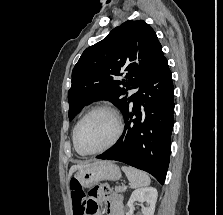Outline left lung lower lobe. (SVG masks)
Returning a JSON list of instances; mask_svg holds the SVG:
<instances>
[{"label": "left lung lower lobe", "instance_id": "obj_1", "mask_svg": "<svg viewBox=\"0 0 223 215\" xmlns=\"http://www.w3.org/2000/svg\"><path fill=\"white\" fill-rule=\"evenodd\" d=\"M173 112L174 87L164 59L142 81L124 113L125 129L120 139L97 158L124 162L150 173L164 184L170 161Z\"/></svg>", "mask_w": 223, "mask_h": 215}]
</instances>
